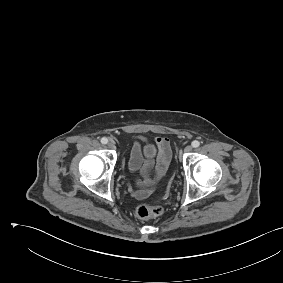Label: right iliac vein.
I'll return each mask as SVG.
<instances>
[{
    "instance_id": "obj_1",
    "label": "right iliac vein",
    "mask_w": 283,
    "mask_h": 283,
    "mask_svg": "<svg viewBox=\"0 0 283 283\" xmlns=\"http://www.w3.org/2000/svg\"><path fill=\"white\" fill-rule=\"evenodd\" d=\"M108 147H109L110 149H115V148H116L115 143H114L113 141H110V142L108 143Z\"/></svg>"
}]
</instances>
